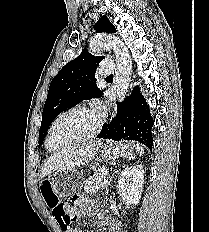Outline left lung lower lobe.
Masks as SVG:
<instances>
[{
  "label": "left lung lower lobe",
  "instance_id": "0a47b994",
  "mask_svg": "<svg viewBox=\"0 0 209 232\" xmlns=\"http://www.w3.org/2000/svg\"><path fill=\"white\" fill-rule=\"evenodd\" d=\"M117 114L103 126L98 138L115 141L135 140L153 147L152 127L154 124L149 105L135 86L131 95L122 103H117Z\"/></svg>",
  "mask_w": 209,
  "mask_h": 232
}]
</instances>
